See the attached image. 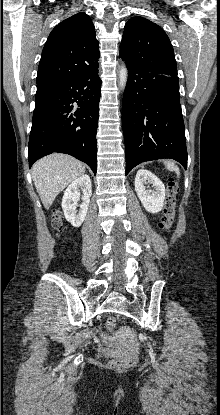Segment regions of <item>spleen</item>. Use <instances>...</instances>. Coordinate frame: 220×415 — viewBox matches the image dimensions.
<instances>
[{
  "instance_id": "spleen-1",
  "label": "spleen",
  "mask_w": 220,
  "mask_h": 415,
  "mask_svg": "<svg viewBox=\"0 0 220 415\" xmlns=\"http://www.w3.org/2000/svg\"><path fill=\"white\" fill-rule=\"evenodd\" d=\"M165 166L169 171H174L177 175H180V170L177 165L172 161H164Z\"/></svg>"
}]
</instances>
